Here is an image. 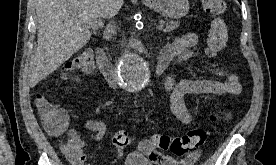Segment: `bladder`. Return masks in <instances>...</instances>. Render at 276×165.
Returning a JSON list of instances; mask_svg holds the SVG:
<instances>
[{
    "instance_id": "obj_1",
    "label": "bladder",
    "mask_w": 276,
    "mask_h": 165,
    "mask_svg": "<svg viewBox=\"0 0 276 165\" xmlns=\"http://www.w3.org/2000/svg\"><path fill=\"white\" fill-rule=\"evenodd\" d=\"M124 165H152V163L140 154H133L128 157Z\"/></svg>"
}]
</instances>
